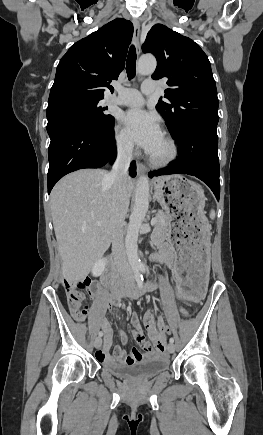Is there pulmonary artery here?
I'll return each mask as SVG.
<instances>
[{"label":"pulmonary artery","instance_id":"1","mask_svg":"<svg viewBox=\"0 0 263 435\" xmlns=\"http://www.w3.org/2000/svg\"><path fill=\"white\" fill-rule=\"evenodd\" d=\"M156 85L152 81H145L141 86V91L136 89L118 88V96L109 99L111 103L123 106L139 107L145 102L144 96L154 93Z\"/></svg>","mask_w":263,"mask_h":435}]
</instances>
